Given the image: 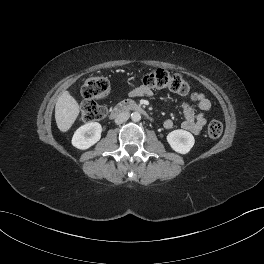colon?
<instances>
[{"instance_id": "5ec220e1", "label": "colon", "mask_w": 264, "mask_h": 264, "mask_svg": "<svg viewBox=\"0 0 264 264\" xmlns=\"http://www.w3.org/2000/svg\"><path fill=\"white\" fill-rule=\"evenodd\" d=\"M142 86L148 89H168L180 95L190 93L188 83L178 74H172L164 69H155L147 73L141 79ZM109 82L104 77H89L83 87L81 118L84 122L99 121L106 116L107 109L99 104L97 100L106 98L109 95ZM223 125L218 120H211L207 126V134L210 138L216 139L221 136Z\"/></svg>"}]
</instances>
